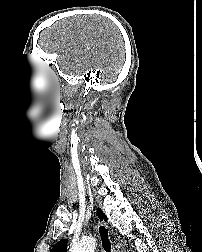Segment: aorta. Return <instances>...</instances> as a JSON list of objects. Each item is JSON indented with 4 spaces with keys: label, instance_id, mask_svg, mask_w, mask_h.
Returning a JSON list of instances; mask_svg holds the SVG:
<instances>
[{
    "label": "aorta",
    "instance_id": "obj_1",
    "mask_svg": "<svg viewBox=\"0 0 202 252\" xmlns=\"http://www.w3.org/2000/svg\"><path fill=\"white\" fill-rule=\"evenodd\" d=\"M94 250L95 240L93 238H88L73 244L69 252H94Z\"/></svg>",
    "mask_w": 202,
    "mask_h": 252
}]
</instances>
